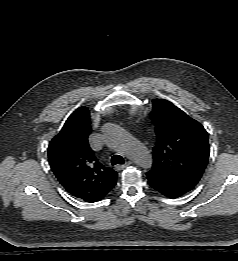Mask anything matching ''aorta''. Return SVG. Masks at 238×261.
<instances>
[{"instance_id": "aorta-1", "label": "aorta", "mask_w": 238, "mask_h": 261, "mask_svg": "<svg viewBox=\"0 0 238 261\" xmlns=\"http://www.w3.org/2000/svg\"><path fill=\"white\" fill-rule=\"evenodd\" d=\"M106 137L122 154L132 159L142 168H150L152 156L140 142L130 137L122 128L109 125Z\"/></svg>"}]
</instances>
